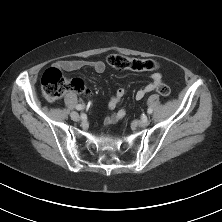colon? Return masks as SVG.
I'll use <instances>...</instances> for the list:
<instances>
[{
  "label": "colon",
  "instance_id": "colon-1",
  "mask_svg": "<svg viewBox=\"0 0 222 222\" xmlns=\"http://www.w3.org/2000/svg\"><path fill=\"white\" fill-rule=\"evenodd\" d=\"M106 62L109 66L119 70L152 71L157 68V63L152 59L132 58L121 54L109 55ZM41 87L45 98L54 101L72 88V82L58 68L51 67L43 73ZM156 90L162 96L170 93L166 85H159Z\"/></svg>",
  "mask_w": 222,
  "mask_h": 222
}]
</instances>
